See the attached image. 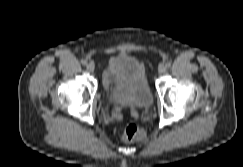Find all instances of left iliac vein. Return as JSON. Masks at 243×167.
<instances>
[{"label": "left iliac vein", "mask_w": 243, "mask_h": 167, "mask_svg": "<svg viewBox=\"0 0 243 167\" xmlns=\"http://www.w3.org/2000/svg\"><path fill=\"white\" fill-rule=\"evenodd\" d=\"M166 70H167V67H166L165 65H163V64L159 65V67H158V72H159L160 74L165 73Z\"/></svg>", "instance_id": "obj_1"}]
</instances>
